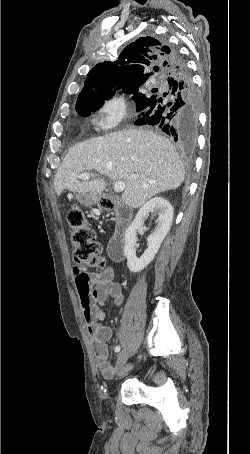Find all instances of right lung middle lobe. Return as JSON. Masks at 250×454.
Listing matches in <instances>:
<instances>
[{
  "instance_id": "right-lung-middle-lobe-1",
  "label": "right lung middle lobe",
  "mask_w": 250,
  "mask_h": 454,
  "mask_svg": "<svg viewBox=\"0 0 250 454\" xmlns=\"http://www.w3.org/2000/svg\"><path fill=\"white\" fill-rule=\"evenodd\" d=\"M138 88H139V86H135V87L125 91V92H128V93H133L134 94L133 98L136 101L137 110L156 96V95H152L151 97H146L144 94L137 93L138 92ZM103 101L104 100L98 101V102L77 103L76 106H75V109L80 115L88 116L91 111L97 110L103 104Z\"/></svg>"
}]
</instances>
